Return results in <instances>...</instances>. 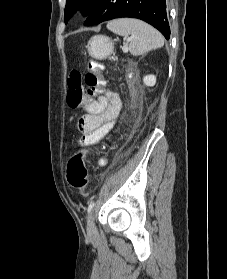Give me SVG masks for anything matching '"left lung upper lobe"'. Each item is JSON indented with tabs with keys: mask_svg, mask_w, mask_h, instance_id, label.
<instances>
[{
	"mask_svg": "<svg viewBox=\"0 0 227 279\" xmlns=\"http://www.w3.org/2000/svg\"><path fill=\"white\" fill-rule=\"evenodd\" d=\"M97 0H66V6L64 11V21L72 16L73 12L80 9L84 16H87Z\"/></svg>",
	"mask_w": 227,
	"mask_h": 279,
	"instance_id": "obj_1",
	"label": "left lung upper lobe"
}]
</instances>
